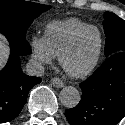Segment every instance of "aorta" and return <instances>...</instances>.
Instances as JSON below:
<instances>
[{
	"label": "aorta",
	"mask_w": 125,
	"mask_h": 125,
	"mask_svg": "<svg viewBox=\"0 0 125 125\" xmlns=\"http://www.w3.org/2000/svg\"><path fill=\"white\" fill-rule=\"evenodd\" d=\"M60 101L65 107L73 108L80 101V93L73 86L64 87L60 92Z\"/></svg>",
	"instance_id": "1"
}]
</instances>
